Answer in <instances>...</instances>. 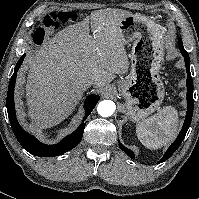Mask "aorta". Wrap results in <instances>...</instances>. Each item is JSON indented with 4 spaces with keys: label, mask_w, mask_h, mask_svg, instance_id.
Instances as JSON below:
<instances>
[{
    "label": "aorta",
    "mask_w": 199,
    "mask_h": 199,
    "mask_svg": "<svg viewBox=\"0 0 199 199\" xmlns=\"http://www.w3.org/2000/svg\"><path fill=\"white\" fill-rule=\"evenodd\" d=\"M97 111L102 117H109L115 111V104L111 100H104L98 104Z\"/></svg>",
    "instance_id": "obj_1"
}]
</instances>
